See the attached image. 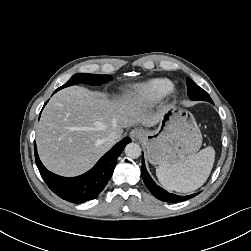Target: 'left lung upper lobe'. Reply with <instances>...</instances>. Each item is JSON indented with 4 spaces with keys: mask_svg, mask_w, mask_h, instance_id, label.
<instances>
[{
    "mask_svg": "<svg viewBox=\"0 0 251 251\" xmlns=\"http://www.w3.org/2000/svg\"><path fill=\"white\" fill-rule=\"evenodd\" d=\"M187 87H188V96L191 100H202V101H208L212 104L213 101L208 95V93L203 90L201 87H199L193 80L190 78H187Z\"/></svg>",
    "mask_w": 251,
    "mask_h": 251,
    "instance_id": "1",
    "label": "left lung upper lobe"
}]
</instances>
